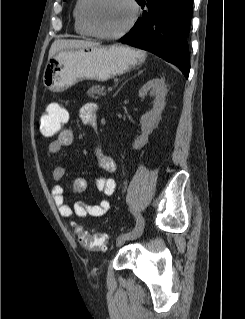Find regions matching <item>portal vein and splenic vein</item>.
Segmentation results:
<instances>
[{
    "instance_id": "1",
    "label": "portal vein and splenic vein",
    "mask_w": 245,
    "mask_h": 319,
    "mask_svg": "<svg viewBox=\"0 0 245 319\" xmlns=\"http://www.w3.org/2000/svg\"><path fill=\"white\" fill-rule=\"evenodd\" d=\"M107 91H108V92H112V91H113V88H112V87H108V88H107Z\"/></svg>"
}]
</instances>
